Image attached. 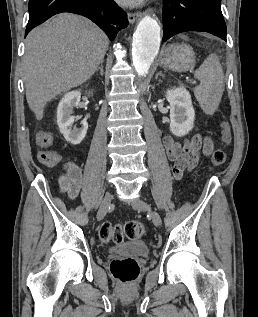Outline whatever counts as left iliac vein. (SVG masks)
Listing matches in <instances>:
<instances>
[{"label":"left iliac vein","instance_id":"obj_1","mask_svg":"<svg viewBox=\"0 0 258 317\" xmlns=\"http://www.w3.org/2000/svg\"><path fill=\"white\" fill-rule=\"evenodd\" d=\"M132 208L137 211H142L143 209H148L149 205L146 204V201H142L141 198H136V201H133ZM152 223L156 224V227H161V216L157 211H152Z\"/></svg>","mask_w":258,"mask_h":317}]
</instances>
